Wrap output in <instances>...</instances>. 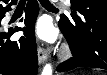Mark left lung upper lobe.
<instances>
[{"instance_id":"5c2ea615","label":"left lung upper lobe","mask_w":107,"mask_h":75,"mask_svg":"<svg viewBox=\"0 0 107 75\" xmlns=\"http://www.w3.org/2000/svg\"><path fill=\"white\" fill-rule=\"evenodd\" d=\"M71 4L70 16L62 14L59 25L77 41L74 52L78 55H89L91 46L82 37V28L85 21L93 22L100 18L107 19V0H71Z\"/></svg>"}]
</instances>
